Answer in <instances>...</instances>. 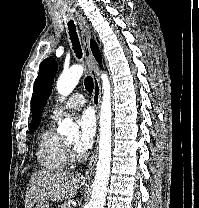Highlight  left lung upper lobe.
<instances>
[{"label": "left lung upper lobe", "mask_w": 199, "mask_h": 208, "mask_svg": "<svg viewBox=\"0 0 199 208\" xmlns=\"http://www.w3.org/2000/svg\"><path fill=\"white\" fill-rule=\"evenodd\" d=\"M58 69V65L53 58L45 59L39 68L38 77L34 83L33 95L31 99L32 122L30 130H34L40 122L43 109L47 99L51 94L52 83Z\"/></svg>", "instance_id": "5c2ea615"}]
</instances>
